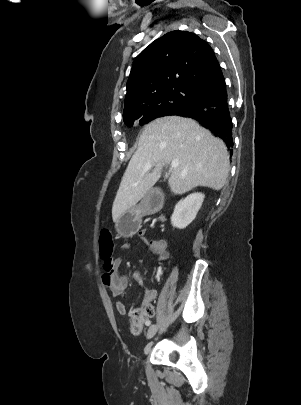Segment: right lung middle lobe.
<instances>
[{"label": "right lung middle lobe", "instance_id": "right-lung-middle-lobe-1", "mask_svg": "<svg viewBox=\"0 0 301 405\" xmlns=\"http://www.w3.org/2000/svg\"><path fill=\"white\" fill-rule=\"evenodd\" d=\"M204 95V92L191 88H176L157 93L143 99L137 108L123 113V120L127 126L131 127L135 120L144 115L139 121V124L143 125L192 104Z\"/></svg>", "mask_w": 301, "mask_h": 405}]
</instances>
